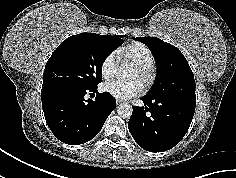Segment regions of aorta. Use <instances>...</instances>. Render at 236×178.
I'll list each match as a JSON object with an SVG mask.
<instances>
[{
  "label": "aorta",
  "mask_w": 236,
  "mask_h": 178,
  "mask_svg": "<svg viewBox=\"0 0 236 178\" xmlns=\"http://www.w3.org/2000/svg\"><path fill=\"white\" fill-rule=\"evenodd\" d=\"M117 113L122 118H129L133 113V108L130 104L122 103L117 107Z\"/></svg>",
  "instance_id": "762f6f07"
}]
</instances>
